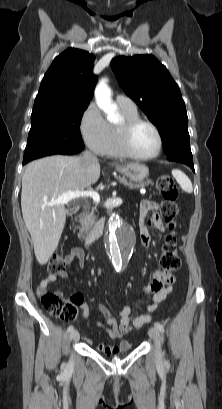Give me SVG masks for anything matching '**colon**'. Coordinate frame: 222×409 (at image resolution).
Here are the masks:
<instances>
[{
	"label": "colon",
	"mask_w": 222,
	"mask_h": 409,
	"mask_svg": "<svg viewBox=\"0 0 222 409\" xmlns=\"http://www.w3.org/2000/svg\"><path fill=\"white\" fill-rule=\"evenodd\" d=\"M157 188L164 198L160 207L161 218L171 229V233L164 241L159 259L160 269L165 273L167 280L181 266L173 221L178 213V190L173 179L168 175H162L158 178ZM65 266L64 257L56 253L51 256L47 269L50 274H58L64 270ZM39 295L43 307L49 314L66 320L73 319L76 316L77 310L75 305L60 292L45 291Z\"/></svg>",
	"instance_id": "5ec220e1"
}]
</instances>
